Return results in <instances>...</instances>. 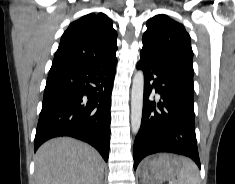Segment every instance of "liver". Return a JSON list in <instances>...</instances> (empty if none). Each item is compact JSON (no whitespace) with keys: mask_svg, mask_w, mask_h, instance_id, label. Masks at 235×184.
Segmentation results:
<instances>
[{"mask_svg":"<svg viewBox=\"0 0 235 184\" xmlns=\"http://www.w3.org/2000/svg\"><path fill=\"white\" fill-rule=\"evenodd\" d=\"M103 174L100 154L73 138H53L36 152V184H101Z\"/></svg>","mask_w":235,"mask_h":184,"instance_id":"liver-1","label":"liver"}]
</instances>
